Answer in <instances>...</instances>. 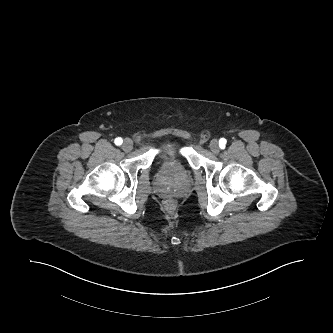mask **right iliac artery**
<instances>
[{"label":"right iliac artery","instance_id":"1","mask_svg":"<svg viewBox=\"0 0 333 333\" xmlns=\"http://www.w3.org/2000/svg\"><path fill=\"white\" fill-rule=\"evenodd\" d=\"M114 142L117 146H120L123 143V140H122V138L118 137V138L115 139Z\"/></svg>","mask_w":333,"mask_h":333}]
</instances>
